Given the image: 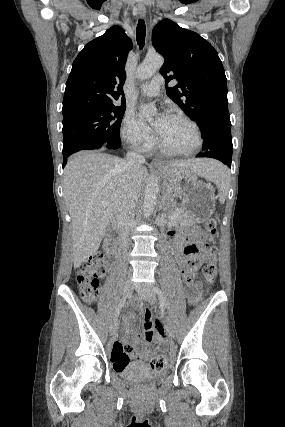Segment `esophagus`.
Returning a JSON list of instances; mask_svg holds the SVG:
<instances>
[{"label": "esophagus", "mask_w": 285, "mask_h": 427, "mask_svg": "<svg viewBox=\"0 0 285 427\" xmlns=\"http://www.w3.org/2000/svg\"><path fill=\"white\" fill-rule=\"evenodd\" d=\"M145 14H146L145 7H144V6H138V15H139V17H140V18H143V17L145 16ZM158 164H160V162H159V161H157V160H153V161L151 162V165H152V166H156V165H158Z\"/></svg>", "instance_id": "esophagus-1"}]
</instances>
